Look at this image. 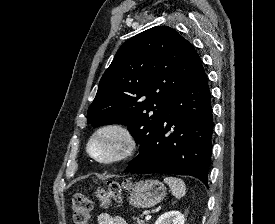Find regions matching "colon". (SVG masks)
I'll return each instance as SVG.
<instances>
[{
  "instance_id": "obj_1",
  "label": "colon",
  "mask_w": 275,
  "mask_h": 224,
  "mask_svg": "<svg viewBox=\"0 0 275 224\" xmlns=\"http://www.w3.org/2000/svg\"><path fill=\"white\" fill-rule=\"evenodd\" d=\"M129 184L109 182L105 188L97 191V198L101 205L107 207L112 201H120L123 192L128 189ZM93 208L92 200L85 194L77 193L72 198V213L75 224H88Z\"/></svg>"
}]
</instances>
